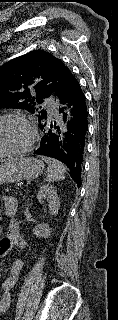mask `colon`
I'll return each instance as SVG.
<instances>
[{
  "label": "colon",
  "mask_w": 118,
  "mask_h": 320,
  "mask_svg": "<svg viewBox=\"0 0 118 320\" xmlns=\"http://www.w3.org/2000/svg\"><path fill=\"white\" fill-rule=\"evenodd\" d=\"M13 245L23 246V240L18 236L15 227L10 230L7 236L2 238L0 243V256L4 255Z\"/></svg>",
  "instance_id": "1"
}]
</instances>
